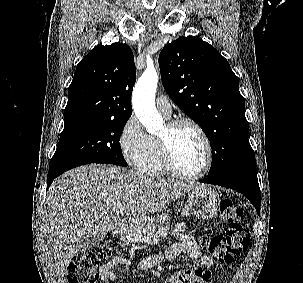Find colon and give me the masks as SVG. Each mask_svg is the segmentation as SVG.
<instances>
[{"label":"colon","instance_id":"colon-1","mask_svg":"<svg viewBox=\"0 0 303 283\" xmlns=\"http://www.w3.org/2000/svg\"><path fill=\"white\" fill-rule=\"evenodd\" d=\"M244 210L230 200L220 203V216L227 225L224 232L214 233L202 240L203 247L219 262L233 261L248 247V226L244 223ZM114 252L112 246H95L77 255L69 263L67 280L69 283H98V267ZM205 271L201 268L189 269L175 275L169 283H200Z\"/></svg>","mask_w":303,"mask_h":283}]
</instances>
